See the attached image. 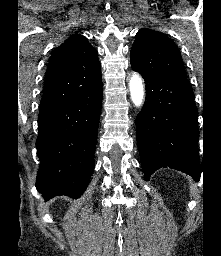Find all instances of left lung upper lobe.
Listing matches in <instances>:
<instances>
[{"label": "left lung upper lobe", "mask_w": 221, "mask_h": 256, "mask_svg": "<svg viewBox=\"0 0 221 256\" xmlns=\"http://www.w3.org/2000/svg\"><path fill=\"white\" fill-rule=\"evenodd\" d=\"M131 66L142 77L158 76L186 79L181 55L165 34L141 29L131 48Z\"/></svg>", "instance_id": "1"}]
</instances>
